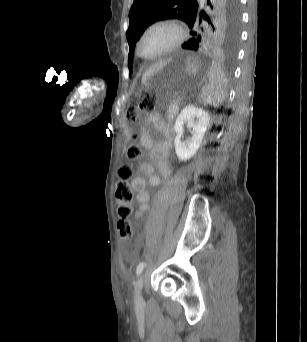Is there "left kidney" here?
I'll return each mask as SVG.
<instances>
[{"mask_svg":"<svg viewBox=\"0 0 307 342\" xmlns=\"http://www.w3.org/2000/svg\"><path fill=\"white\" fill-rule=\"evenodd\" d=\"M210 116L208 112L202 110V108H196V106H185L183 110H181L174 126V130L177 134L174 140L175 152L181 160V162H187L190 158L195 156L202 140L203 136L209 126ZM188 128H192V138H189V142L185 144L182 142L181 136H183L184 132V124H186Z\"/></svg>","mask_w":307,"mask_h":342,"instance_id":"left-kidney-1","label":"left kidney"}]
</instances>
